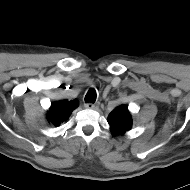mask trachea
I'll list each match as a JSON object with an SVG mask.
<instances>
[{"label": "trachea", "instance_id": "trachea-1", "mask_svg": "<svg viewBox=\"0 0 190 190\" xmlns=\"http://www.w3.org/2000/svg\"><path fill=\"white\" fill-rule=\"evenodd\" d=\"M96 97H97V94H96V91L94 88H91L88 90L86 96H85V102L86 103H94L96 101Z\"/></svg>", "mask_w": 190, "mask_h": 190}]
</instances>
